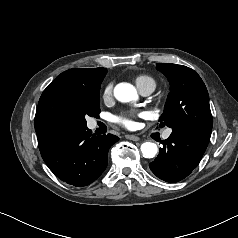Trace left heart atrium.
<instances>
[{"mask_svg": "<svg viewBox=\"0 0 238 238\" xmlns=\"http://www.w3.org/2000/svg\"><path fill=\"white\" fill-rule=\"evenodd\" d=\"M116 121L128 129H133L136 126L134 117L131 114L119 116Z\"/></svg>", "mask_w": 238, "mask_h": 238, "instance_id": "39dd6f15", "label": "left heart atrium"}]
</instances>
